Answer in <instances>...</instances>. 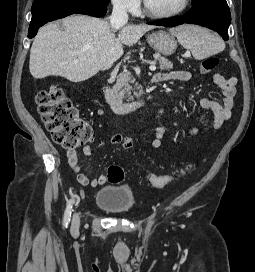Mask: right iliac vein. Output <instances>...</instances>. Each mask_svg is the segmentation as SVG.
Masks as SVG:
<instances>
[{"instance_id":"right-iliac-vein-1","label":"right iliac vein","mask_w":255,"mask_h":272,"mask_svg":"<svg viewBox=\"0 0 255 272\" xmlns=\"http://www.w3.org/2000/svg\"><path fill=\"white\" fill-rule=\"evenodd\" d=\"M79 225H80V220H79L78 214L75 213L72 220V229L74 231L78 230Z\"/></svg>"}]
</instances>
